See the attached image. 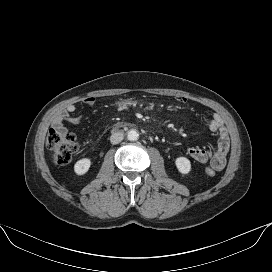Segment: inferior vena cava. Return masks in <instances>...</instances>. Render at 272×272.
<instances>
[{
	"mask_svg": "<svg viewBox=\"0 0 272 272\" xmlns=\"http://www.w3.org/2000/svg\"><path fill=\"white\" fill-rule=\"evenodd\" d=\"M123 138H124V135H123L122 132H115V133H113L111 135L110 142L112 144H118V143H120L123 140Z\"/></svg>",
	"mask_w": 272,
	"mask_h": 272,
	"instance_id": "1",
	"label": "inferior vena cava"
}]
</instances>
